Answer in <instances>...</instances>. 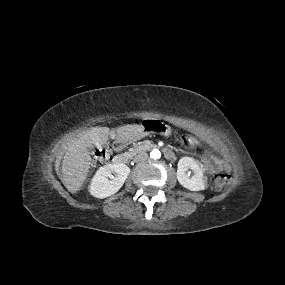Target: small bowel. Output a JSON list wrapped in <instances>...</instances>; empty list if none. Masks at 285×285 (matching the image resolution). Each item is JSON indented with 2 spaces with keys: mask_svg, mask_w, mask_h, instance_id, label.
Segmentation results:
<instances>
[{
  "mask_svg": "<svg viewBox=\"0 0 285 285\" xmlns=\"http://www.w3.org/2000/svg\"><path fill=\"white\" fill-rule=\"evenodd\" d=\"M202 161L205 171L210 175H216L219 171L228 169L226 162L210 152H204Z\"/></svg>",
  "mask_w": 285,
  "mask_h": 285,
  "instance_id": "c3829d8e",
  "label": "small bowel"
}]
</instances>
